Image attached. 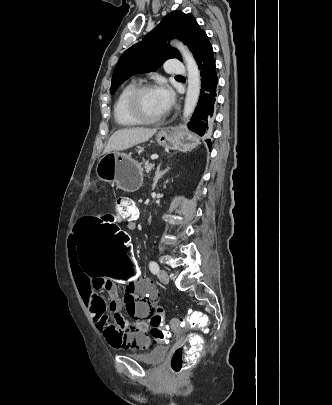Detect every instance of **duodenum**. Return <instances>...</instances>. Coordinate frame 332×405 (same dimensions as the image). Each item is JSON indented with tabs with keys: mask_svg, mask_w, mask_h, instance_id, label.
<instances>
[{
	"mask_svg": "<svg viewBox=\"0 0 332 405\" xmlns=\"http://www.w3.org/2000/svg\"><path fill=\"white\" fill-rule=\"evenodd\" d=\"M138 218H139V215H138V214H133V215L131 216V218L129 219V221H130V228H131V229H135V228H136V224H137Z\"/></svg>",
	"mask_w": 332,
	"mask_h": 405,
	"instance_id": "obj_1",
	"label": "duodenum"
}]
</instances>
